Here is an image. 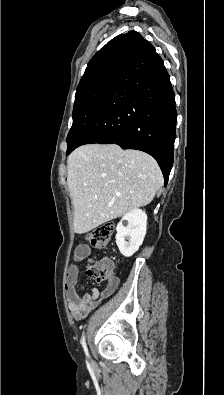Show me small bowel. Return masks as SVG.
<instances>
[{"instance_id":"1","label":"small bowel","mask_w":224,"mask_h":395,"mask_svg":"<svg viewBox=\"0 0 224 395\" xmlns=\"http://www.w3.org/2000/svg\"><path fill=\"white\" fill-rule=\"evenodd\" d=\"M92 253L91 247L87 244H80L75 251V262L68 268L66 277V292L68 308L76 320L85 318L89 312L98 305L102 298H106L114 293L119 284V279L114 277L109 280L103 292L93 289L91 293L79 295L76 291V284L79 276L78 262L88 258Z\"/></svg>"}]
</instances>
